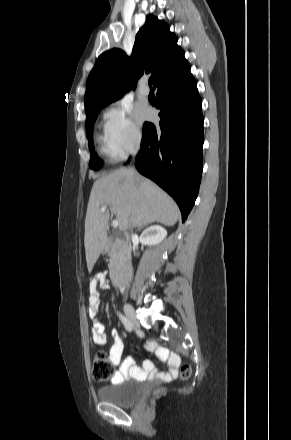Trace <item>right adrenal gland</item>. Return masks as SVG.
<instances>
[{
  "instance_id": "2a0ac1e0",
  "label": "right adrenal gland",
  "mask_w": 291,
  "mask_h": 440,
  "mask_svg": "<svg viewBox=\"0 0 291 440\" xmlns=\"http://www.w3.org/2000/svg\"><path fill=\"white\" fill-rule=\"evenodd\" d=\"M142 229V227H140L139 229H138V231H140Z\"/></svg>"
}]
</instances>
